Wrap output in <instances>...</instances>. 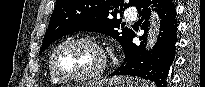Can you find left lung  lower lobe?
<instances>
[{"label": "left lung lower lobe", "mask_w": 205, "mask_h": 87, "mask_svg": "<svg viewBox=\"0 0 205 87\" xmlns=\"http://www.w3.org/2000/svg\"><path fill=\"white\" fill-rule=\"evenodd\" d=\"M143 22L145 34L140 37V45L133 43L135 33L124 47L125 61L112 75H131L154 82L157 87H167V77L175 57L177 43L176 9L171 0H139L135 6ZM150 7L161 19L160 33L154 49L148 53L145 49L146 33L149 24Z\"/></svg>", "instance_id": "0a47b994"}]
</instances>
